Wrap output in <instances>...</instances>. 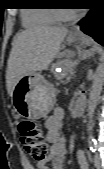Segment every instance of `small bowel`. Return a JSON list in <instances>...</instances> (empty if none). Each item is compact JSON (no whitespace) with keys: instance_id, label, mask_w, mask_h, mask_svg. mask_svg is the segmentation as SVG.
Wrapping results in <instances>:
<instances>
[{"instance_id":"c3829d8e","label":"small bowel","mask_w":104,"mask_h":169,"mask_svg":"<svg viewBox=\"0 0 104 169\" xmlns=\"http://www.w3.org/2000/svg\"><path fill=\"white\" fill-rule=\"evenodd\" d=\"M64 111L55 107L45 121L46 138L51 144L49 155L44 161L38 162V169H64L63 161L67 156L66 139L63 131ZM79 169H89V163L83 150H78Z\"/></svg>"}]
</instances>
